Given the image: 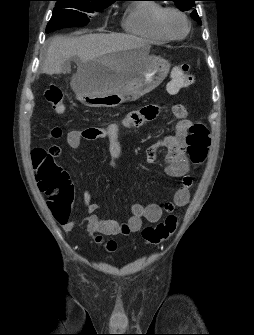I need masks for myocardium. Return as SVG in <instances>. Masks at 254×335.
I'll return each instance as SVG.
<instances>
[{"label":"myocardium","instance_id":"myocardium-1","mask_svg":"<svg viewBox=\"0 0 254 335\" xmlns=\"http://www.w3.org/2000/svg\"><path fill=\"white\" fill-rule=\"evenodd\" d=\"M167 13H175V14L179 15L184 20V22L186 24V30L182 35L172 36L165 30L164 25H163V18L165 16V14H167ZM155 26H156V29H157L158 33L160 35H162L167 40H182L189 34V32L191 30V22H190L189 18L187 17V15L183 11H181L180 9L175 8V7L161 8V10L158 12V14L156 16V19H155Z\"/></svg>","mask_w":254,"mask_h":335}]
</instances>
